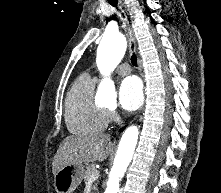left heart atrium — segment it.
<instances>
[{
    "mask_svg": "<svg viewBox=\"0 0 221 193\" xmlns=\"http://www.w3.org/2000/svg\"><path fill=\"white\" fill-rule=\"evenodd\" d=\"M143 86L139 78H125L119 89V103L126 111L137 110L143 103Z\"/></svg>",
    "mask_w": 221,
    "mask_h": 193,
    "instance_id": "1",
    "label": "left heart atrium"
}]
</instances>
